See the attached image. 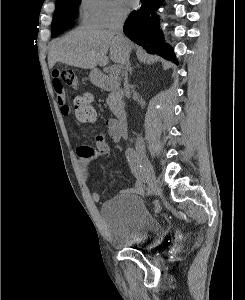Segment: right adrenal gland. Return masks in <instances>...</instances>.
Masks as SVG:
<instances>
[{"instance_id":"right-adrenal-gland-1","label":"right adrenal gland","mask_w":245,"mask_h":300,"mask_svg":"<svg viewBox=\"0 0 245 300\" xmlns=\"http://www.w3.org/2000/svg\"><path fill=\"white\" fill-rule=\"evenodd\" d=\"M132 70H133V68H132V67H129V71H130V73H132Z\"/></svg>"}]
</instances>
